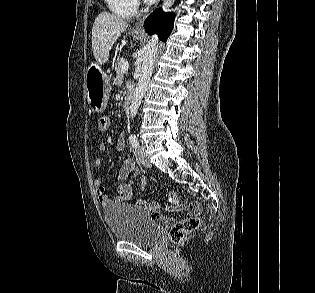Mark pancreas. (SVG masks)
I'll return each mask as SVG.
<instances>
[{"label":"pancreas","instance_id":"1","mask_svg":"<svg viewBox=\"0 0 315 293\" xmlns=\"http://www.w3.org/2000/svg\"><path fill=\"white\" fill-rule=\"evenodd\" d=\"M125 60L124 59H120L117 63V67H116V80H115V84L116 85H120L123 82V72H122V67L124 64Z\"/></svg>","mask_w":315,"mask_h":293}]
</instances>
